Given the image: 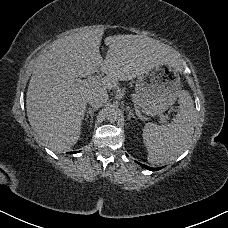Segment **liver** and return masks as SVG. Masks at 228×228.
Instances as JSON below:
<instances>
[{
    "mask_svg": "<svg viewBox=\"0 0 228 228\" xmlns=\"http://www.w3.org/2000/svg\"><path fill=\"white\" fill-rule=\"evenodd\" d=\"M104 31L91 29L57 40L35 62L26 94V114L37 142L56 152H66L82 136L90 92H108L158 67L178 70L179 55L170 46L143 35H111L100 44ZM100 68L106 76L96 85L82 78Z\"/></svg>",
    "mask_w": 228,
    "mask_h": 228,
    "instance_id": "obj_1",
    "label": "liver"
}]
</instances>
